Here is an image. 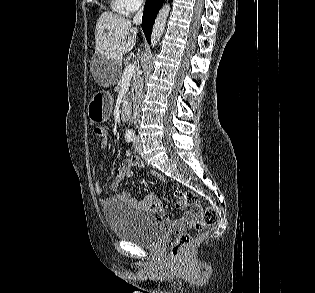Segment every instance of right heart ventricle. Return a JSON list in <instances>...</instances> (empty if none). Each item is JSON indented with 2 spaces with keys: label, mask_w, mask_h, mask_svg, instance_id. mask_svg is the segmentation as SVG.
<instances>
[{
  "label": "right heart ventricle",
  "mask_w": 315,
  "mask_h": 293,
  "mask_svg": "<svg viewBox=\"0 0 315 293\" xmlns=\"http://www.w3.org/2000/svg\"><path fill=\"white\" fill-rule=\"evenodd\" d=\"M112 8L121 14H126L127 11L125 10L121 0H111Z\"/></svg>",
  "instance_id": "obj_1"
}]
</instances>
